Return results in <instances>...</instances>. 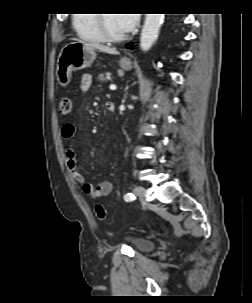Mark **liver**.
<instances>
[{"instance_id": "obj_1", "label": "liver", "mask_w": 252, "mask_h": 303, "mask_svg": "<svg viewBox=\"0 0 252 303\" xmlns=\"http://www.w3.org/2000/svg\"><path fill=\"white\" fill-rule=\"evenodd\" d=\"M78 42H82V41H78ZM83 43H85V42H83ZM86 44L93 47L94 49L100 50L101 52H105V53L113 54V55L118 54V52L115 48H110L108 46H105V45H102V44H99V43H86Z\"/></svg>"}]
</instances>
